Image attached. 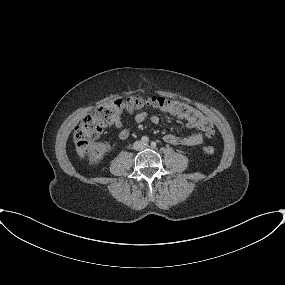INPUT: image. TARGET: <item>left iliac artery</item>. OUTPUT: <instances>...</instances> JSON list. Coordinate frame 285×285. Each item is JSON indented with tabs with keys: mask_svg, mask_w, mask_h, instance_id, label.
Here are the masks:
<instances>
[{
	"mask_svg": "<svg viewBox=\"0 0 285 285\" xmlns=\"http://www.w3.org/2000/svg\"><path fill=\"white\" fill-rule=\"evenodd\" d=\"M156 142H151V147L155 148L156 147Z\"/></svg>",
	"mask_w": 285,
	"mask_h": 285,
	"instance_id": "44dca946",
	"label": "left iliac artery"
}]
</instances>
